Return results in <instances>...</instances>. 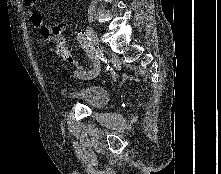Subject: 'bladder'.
Here are the masks:
<instances>
[{
	"mask_svg": "<svg viewBox=\"0 0 221 174\" xmlns=\"http://www.w3.org/2000/svg\"><path fill=\"white\" fill-rule=\"evenodd\" d=\"M59 98L64 102L82 103L91 108H101L109 101V93L100 84L85 82L71 86H62Z\"/></svg>",
	"mask_w": 221,
	"mask_h": 174,
	"instance_id": "obj_1",
	"label": "bladder"
}]
</instances>
